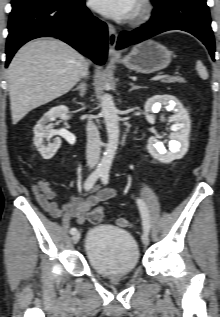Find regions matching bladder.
I'll list each match as a JSON object with an SVG mask.
<instances>
[{"mask_svg": "<svg viewBox=\"0 0 220 317\" xmlns=\"http://www.w3.org/2000/svg\"><path fill=\"white\" fill-rule=\"evenodd\" d=\"M84 252L90 268L101 275L130 274L140 262L134 236L125 229L107 225L88 231Z\"/></svg>", "mask_w": 220, "mask_h": 317, "instance_id": "bladder-1", "label": "bladder"}]
</instances>
